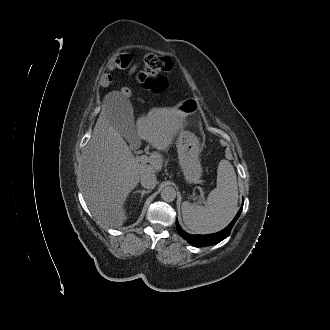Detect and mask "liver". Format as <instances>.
<instances>
[{
    "label": "liver",
    "instance_id": "6515ba94",
    "mask_svg": "<svg viewBox=\"0 0 330 330\" xmlns=\"http://www.w3.org/2000/svg\"><path fill=\"white\" fill-rule=\"evenodd\" d=\"M117 109L111 105L103 107L86 146L81 171V190L90 212L100 223L111 227H120L127 220L124 203L141 176L159 172L163 166L158 152L150 154L149 164L140 163L133 156L113 125L119 120L114 116ZM183 118L173 110H152L138 118L137 136L153 148L166 150L183 130ZM135 137L136 131L130 135Z\"/></svg>",
    "mask_w": 330,
    "mask_h": 330
}]
</instances>
